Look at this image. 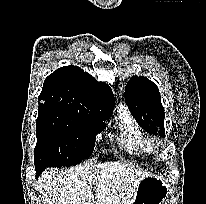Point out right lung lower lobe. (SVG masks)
Wrapping results in <instances>:
<instances>
[{"label":"right lung lower lobe","mask_w":206,"mask_h":204,"mask_svg":"<svg viewBox=\"0 0 206 204\" xmlns=\"http://www.w3.org/2000/svg\"><path fill=\"white\" fill-rule=\"evenodd\" d=\"M45 167H35L36 170V178L40 176V174L44 171Z\"/></svg>","instance_id":"right-lung-lower-lobe-1"}]
</instances>
